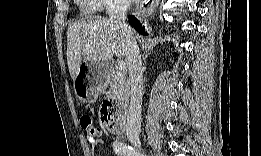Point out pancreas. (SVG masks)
<instances>
[{
  "label": "pancreas",
  "instance_id": "pancreas-1",
  "mask_svg": "<svg viewBox=\"0 0 261 156\" xmlns=\"http://www.w3.org/2000/svg\"><path fill=\"white\" fill-rule=\"evenodd\" d=\"M107 79L112 93L119 101L127 103L129 100V81L125 71L110 68L107 72Z\"/></svg>",
  "mask_w": 261,
  "mask_h": 156
}]
</instances>
